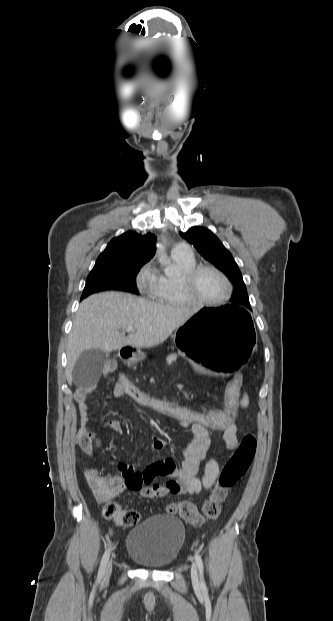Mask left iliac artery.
Here are the masks:
<instances>
[{
    "mask_svg": "<svg viewBox=\"0 0 333 621\" xmlns=\"http://www.w3.org/2000/svg\"><path fill=\"white\" fill-rule=\"evenodd\" d=\"M195 561H196V564L198 566V570L200 573V586H201V589L205 591L207 590V587L205 584V580L203 578V571H204L203 561L201 559V556L198 553L195 554Z\"/></svg>",
    "mask_w": 333,
    "mask_h": 621,
    "instance_id": "left-iliac-artery-1",
    "label": "left iliac artery"
}]
</instances>
